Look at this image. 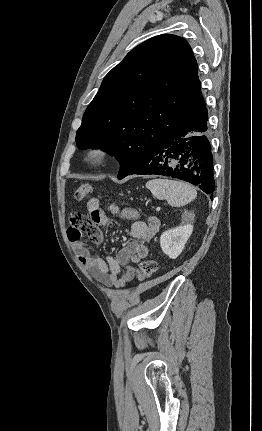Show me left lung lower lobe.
<instances>
[{
  "label": "left lung lower lobe",
  "mask_w": 262,
  "mask_h": 431,
  "mask_svg": "<svg viewBox=\"0 0 262 431\" xmlns=\"http://www.w3.org/2000/svg\"><path fill=\"white\" fill-rule=\"evenodd\" d=\"M207 121L208 112L204 108L194 120L146 153L128 175L169 176L187 181L205 193L212 194L215 182Z\"/></svg>",
  "instance_id": "1"
}]
</instances>
